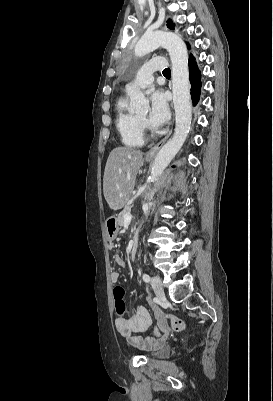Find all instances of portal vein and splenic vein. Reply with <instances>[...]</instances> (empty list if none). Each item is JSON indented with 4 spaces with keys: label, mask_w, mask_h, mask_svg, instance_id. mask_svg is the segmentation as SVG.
I'll return each mask as SVG.
<instances>
[{
    "label": "portal vein and splenic vein",
    "mask_w": 273,
    "mask_h": 401,
    "mask_svg": "<svg viewBox=\"0 0 273 401\" xmlns=\"http://www.w3.org/2000/svg\"><path fill=\"white\" fill-rule=\"evenodd\" d=\"M133 217L130 215V213H127V215H124V221L125 223H130L132 221Z\"/></svg>",
    "instance_id": "18ae733b"
}]
</instances>
